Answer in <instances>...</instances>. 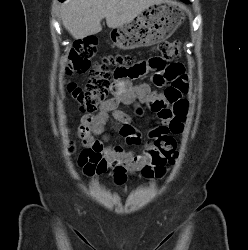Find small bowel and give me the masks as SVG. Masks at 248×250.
I'll use <instances>...</instances> for the list:
<instances>
[{
	"instance_id": "c3829d8e",
	"label": "small bowel",
	"mask_w": 248,
	"mask_h": 250,
	"mask_svg": "<svg viewBox=\"0 0 248 250\" xmlns=\"http://www.w3.org/2000/svg\"><path fill=\"white\" fill-rule=\"evenodd\" d=\"M126 70V68H121L115 71L114 81L110 87L112 97L100 106L96 114L83 115L78 127V136L85 148L92 149L97 155V158L93 159L89 165L82 166L84 173L87 175L103 174L111 169L113 179L117 184H123L129 174L144 173V168L152 163L154 157L152 146H148L141 154H134L118 144L106 146L102 140L97 138L104 133L105 126L111 123L121 135L126 137L129 143L137 144L140 141L139 134L132 127L131 115L119 110L118 106L132 104L136 100L149 104L151 110L161 121L160 125L151 133L153 137L161 133L180 134L188 107L187 102L183 99V95L188 89V82L181 63H162L160 72L175 76L171 87L180 95L183 103L182 111L175 109V104L179 101L171 106H156L159 101H166L164 93L154 94L149 85L145 83L133 84L127 79V76L122 75ZM135 70L137 77L148 72H157L152 68L151 60L136 64Z\"/></svg>"
}]
</instances>
